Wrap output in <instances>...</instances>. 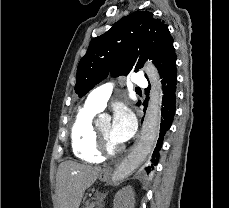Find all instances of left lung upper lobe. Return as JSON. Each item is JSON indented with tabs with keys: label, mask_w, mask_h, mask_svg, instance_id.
<instances>
[{
	"label": "left lung upper lobe",
	"mask_w": 229,
	"mask_h": 208,
	"mask_svg": "<svg viewBox=\"0 0 229 208\" xmlns=\"http://www.w3.org/2000/svg\"><path fill=\"white\" fill-rule=\"evenodd\" d=\"M147 59L153 60L162 78L176 60L173 38L152 12L136 11L91 41L78 64L75 92L82 97L109 73L117 77L136 72Z\"/></svg>",
	"instance_id": "1"
}]
</instances>
